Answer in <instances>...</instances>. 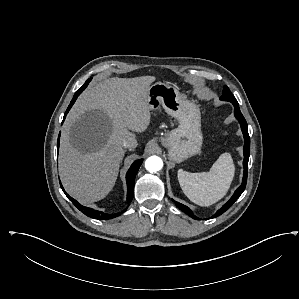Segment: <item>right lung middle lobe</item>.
Returning a JSON list of instances; mask_svg holds the SVG:
<instances>
[{
	"label": "right lung middle lobe",
	"instance_id": "obj_1",
	"mask_svg": "<svg viewBox=\"0 0 299 299\" xmlns=\"http://www.w3.org/2000/svg\"><path fill=\"white\" fill-rule=\"evenodd\" d=\"M90 80H91V78L88 79V80L85 82V84H84L78 91H83V90L87 87V85H88V83L90 82Z\"/></svg>",
	"mask_w": 299,
	"mask_h": 299
}]
</instances>
